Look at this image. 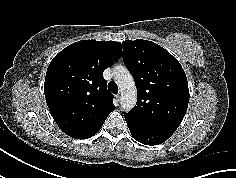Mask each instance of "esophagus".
<instances>
[{
	"instance_id": "1",
	"label": "esophagus",
	"mask_w": 236,
	"mask_h": 178,
	"mask_svg": "<svg viewBox=\"0 0 236 178\" xmlns=\"http://www.w3.org/2000/svg\"><path fill=\"white\" fill-rule=\"evenodd\" d=\"M116 99H117L118 102L120 101V99H121L120 94H117V95H116Z\"/></svg>"
}]
</instances>
